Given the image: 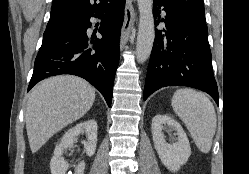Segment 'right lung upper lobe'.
Listing matches in <instances>:
<instances>
[{"label":"right lung upper lobe","instance_id":"cb5924a9","mask_svg":"<svg viewBox=\"0 0 249 174\" xmlns=\"http://www.w3.org/2000/svg\"><path fill=\"white\" fill-rule=\"evenodd\" d=\"M114 0H53L50 20L46 28L55 27L66 20L91 16L103 12Z\"/></svg>","mask_w":249,"mask_h":174}]
</instances>
